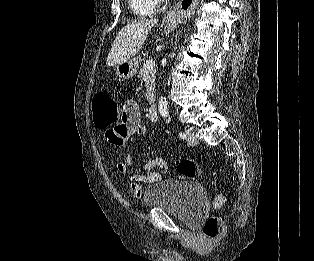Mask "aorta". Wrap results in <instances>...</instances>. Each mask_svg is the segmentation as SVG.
Masks as SVG:
<instances>
[{"mask_svg": "<svg viewBox=\"0 0 314 261\" xmlns=\"http://www.w3.org/2000/svg\"><path fill=\"white\" fill-rule=\"evenodd\" d=\"M158 110L163 117H167L169 114L168 104L164 97H160L158 103Z\"/></svg>", "mask_w": 314, "mask_h": 261, "instance_id": "obj_1", "label": "aorta"}]
</instances>
